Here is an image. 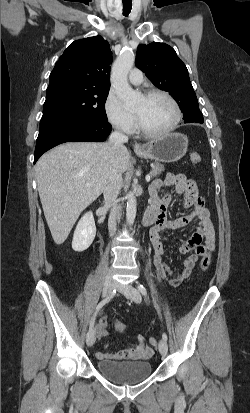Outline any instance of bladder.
Segmentation results:
<instances>
[{
  "label": "bladder",
  "mask_w": 250,
  "mask_h": 413,
  "mask_svg": "<svg viewBox=\"0 0 250 413\" xmlns=\"http://www.w3.org/2000/svg\"><path fill=\"white\" fill-rule=\"evenodd\" d=\"M100 373L118 384H135L151 374L149 361H117L102 359L96 363Z\"/></svg>",
  "instance_id": "1"
}]
</instances>
